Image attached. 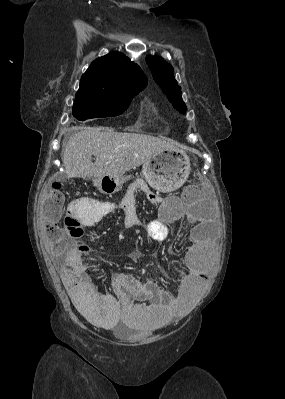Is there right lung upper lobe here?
Returning a JSON list of instances; mask_svg holds the SVG:
<instances>
[{
	"label": "right lung upper lobe",
	"mask_w": 285,
	"mask_h": 399,
	"mask_svg": "<svg viewBox=\"0 0 285 399\" xmlns=\"http://www.w3.org/2000/svg\"><path fill=\"white\" fill-rule=\"evenodd\" d=\"M147 84L141 68L121 52L94 60L82 75L76 97H111L137 94Z\"/></svg>",
	"instance_id": "cb5924a9"
}]
</instances>
